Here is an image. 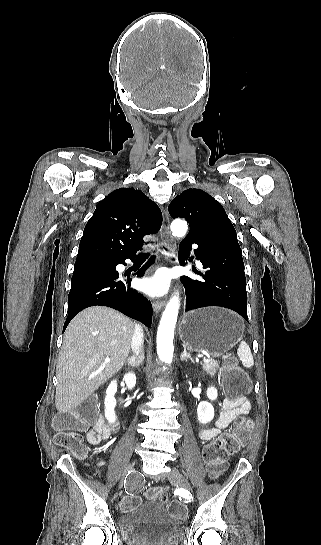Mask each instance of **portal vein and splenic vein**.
Returning a JSON list of instances; mask_svg holds the SVG:
<instances>
[{
    "label": "portal vein and splenic vein",
    "mask_w": 321,
    "mask_h": 545,
    "mask_svg": "<svg viewBox=\"0 0 321 545\" xmlns=\"http://www.w3.org/2000/svg\"><path fill=\"white\" fill-rule=\"evenodd\" d=\"M202 356H204V353H200V355H198V358H202ZM105 363H109L110 359H104ZM202 361H206V358H202Z\"/></svg>",
    "instance_id": "portal-vein-and-splenic-vein-1"
}]
</instances>
